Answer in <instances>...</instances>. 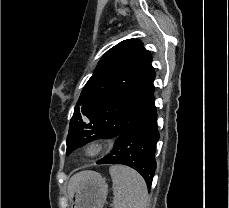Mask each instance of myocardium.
<instances>
[{
  "label": "myocardium",
  "mask_w": 229,
  "mask_h": 208,
  "mask_svg": "<svg viewBox=\"0 0 229 208\" xmlns=\"http://www.w3.org/2000/svg\"><path fill=\"white\" fill-rule=\"evenodd\" d=\"M117 138L113 134L99 133L83 142L79 147L80 156L87 161H94L112 152L117 146ZM105 146V147H104ZM89 147H104L97 153L89 154Z\"/></svg>",
  "instance_id": "myocardium-1"
}]
</instances>
